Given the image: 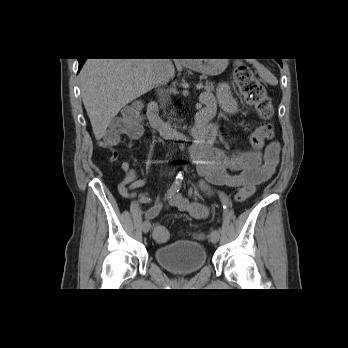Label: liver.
Wrapping results in <instances>:
<instances>
[{
	"instance_id": "liver-1",
	"label": "liver",
	"mask_w": 348,
	"mask_h": 348,
	"mask_svg": "<svg viewBox=\"0 0 348 348\" xmlns=\"http://www.w3.org/2000/svg\"><path fill=\"white\" fill-rule=\"evenodd\" d=\"M174 75L169 60L166 79ZM79 78L83 104L100 140L124 106L155 87L154 59H88Z\"/></svg>"
}]
</instances>
